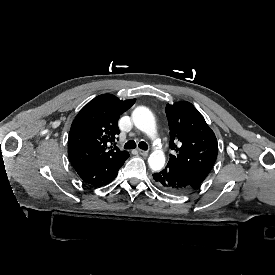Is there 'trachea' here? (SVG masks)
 <instances>
[{
    "label": "trachea",
    "mask_w": 275,
    "mask_h": 275,
    "mask_svg": "<svg viewBox=\"0 0 275 275\" xmlns=\"http://www.w3.org/2000/svg\"><path fill=\"white\" fill-rule=\"evenodd\" d=\"M138 147L144 151H146L148 149V145L144 142L141 141L138 145ZM125 149H135L136 148V143L133 140H129L127 143H125L124 145Z\"/></svg>",
    "instance_id": "1"
}]
</instances>
